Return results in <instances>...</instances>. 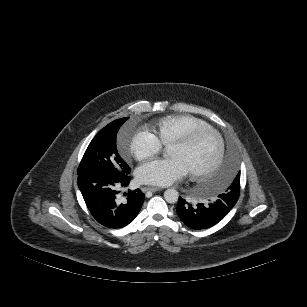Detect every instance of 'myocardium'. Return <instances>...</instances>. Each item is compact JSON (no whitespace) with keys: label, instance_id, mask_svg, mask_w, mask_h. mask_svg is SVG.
I'll return each instance as SVG.
<instances>
[{"label":"myocardium","instance_id":"myocardium-1","mask_svg":"<svg viewBox=\"0 0 307 307\" xmlns=\"http://www.w3.org/2000/svg\"><path fill=\"white\" fill-rule=\"evenodd\" d=\"M205 134H210L217 139L218 142L217 155L212 165L200 170H190L189 172L191 173V175L195 177L208 176L214 173L221 166L225 155V141L222 134L212 126L199 127L185 132L181 136L172 140L167 145V148H169L170 146H189Z\"/></svg>","mask_w":307,"mask_h":307}]
</instances>
